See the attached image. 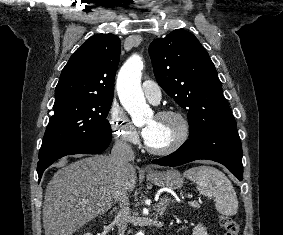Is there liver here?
Wrapping results in <instances>:
<instances>
[{
	"instance_id": "6515ba94",
	"label": "liver",
	"mask_w": 283,
	"mask_h": 235,
	"mask_svg": "<svg viewBox=\"0 0 283 235\" xmlns=\"http://www.w3.org/2000/svg\"><path fill=\"white\" fill-rule=\"evenodd\" d=\"M61 168L49 182L43 204L45 235H72L112 206L116 173L110 156L85 157ZM132 167L126 178L128 192L135 189Z\"/></svg>"
}]
</instances>
